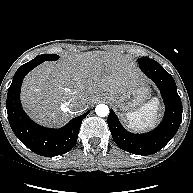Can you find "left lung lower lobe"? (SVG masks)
Returning <instances> with one entry per match:
<instances>
[{
  "mask_svg": "<svg viewBox=\"0 0 193 193\" xmlns=\"http://www.w3.org/2000/svg\"><path fill=\"white\" fill-rule=\"evenodd\" d=\"M141 70L151 78L162 94L166 106L161 124L145 134H132L120 124L111 110L108 126L115 143L123 150L137 155H151L162 149L176 134L182 117V103L172 76L155 60L139 63Z\"/></svg>",
  "mask_w": 193,
  "mask_h": 193,
  "instance_id": "0a47b994",
  "label": "left lung lower lobe"
}]
</instances>
